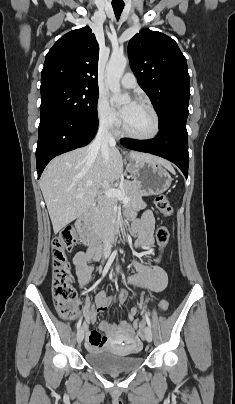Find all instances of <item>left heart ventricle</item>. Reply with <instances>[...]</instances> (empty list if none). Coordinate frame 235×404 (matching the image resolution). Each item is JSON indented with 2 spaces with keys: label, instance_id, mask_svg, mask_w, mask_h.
<instances>
[{
  "label": "left heart ventricle",
  "instance_id": "left-heart-ventricle-1",
  "mask_svg": "<svg viewBox=\"0 0 235 404\" xmlns=\"http://www.w3.org/2000/svg\"><path fill=\"white\" fill-rule=\"evenodd\" d=\"M122 111L126 112L123 121L128 131L141 136L152 132L154 119L147 108L137 103L129 102L122 107Z\"/></svg>",
  "mask_w": 235,
  "mask_h": 404
}]
</instances>
